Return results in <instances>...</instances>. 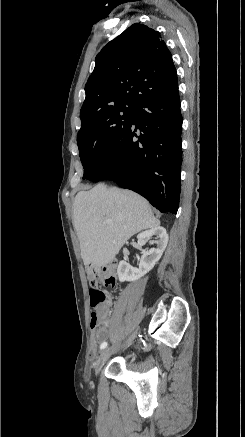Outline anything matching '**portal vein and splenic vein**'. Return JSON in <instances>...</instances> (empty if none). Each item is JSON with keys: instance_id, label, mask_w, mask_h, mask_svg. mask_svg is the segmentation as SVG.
I'll return each instance as SVG.
<instances>
[{"instance_id": "obj_1", "label": "portal vein and splenic vein", "mask_w": 245, "mask_h": 437, "mask_svg": "<svg viewBox=\"0 0 245 437\" xmlns=\"http://www.w3.org/2000/svg\"><path fill=\"white\" fill-rule=\"evenodd\" d=\"M110 222H111L110 220H108V219L106 220V223H110Z\"/></svg>"}]
</instances>
